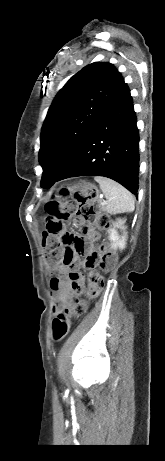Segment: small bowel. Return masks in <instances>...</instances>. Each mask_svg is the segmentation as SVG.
I'll return each instance as SVG.
<instances>
[{
	"mask_svg": "<svg viewBox=\"0 0 165 461\" xmlns=\"http://www.w3.org/2000/svg\"><path fill=\"white\" fill-rule=\"evenodd\" d=\"M74 229H62L60 247L75 251H61L60 264L56 266L58 276L50 281V287L56 293L55 312L68 306L74 294H80L85 287L84 276L79 272L78 255L87 257L96 252V242L100 238L94 225H82L76 220ZM86 257V258H87ZM86 266V260H85Z\"/></svg>",
	"mask_w": 165,
	"mask_h": 461,
	"instance_id": "small-bowel-1",
	"label": "small bowel"
}]
</instances>
